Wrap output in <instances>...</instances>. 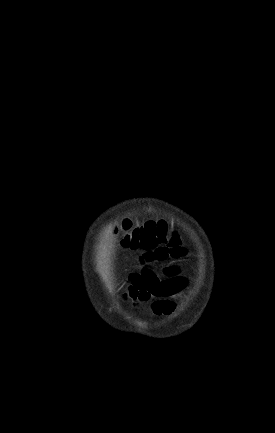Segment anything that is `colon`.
Instances as JSON below:
<instances>
[{"mask_svg":"<svg viewBox=\"0 0 275 433\" xmlns=\"http://www.w3.org/2000/svg\"><path fill=\"white\" fill-rule=\"evenodd\" d=\"M117 230L122 233V244L130 249H151L160 244L174 247V254H182L179 240L171 235L167 225L161 221H150L134 226L129 220L123 219L117 223Z\"/></svg>","mask_w":275,"mask_h":433,"instance_id":"5ec220e1","label":"colon"}]
</instances>
